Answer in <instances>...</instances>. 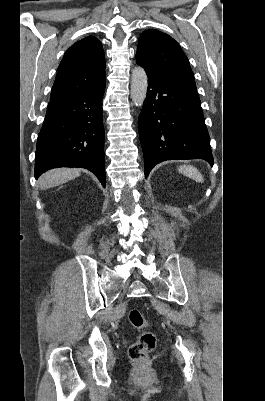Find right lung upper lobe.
I'll return each mask as SVG.
<instances>
[{"mask_svg":"<svg viewBox=\"0 0 265 401\" xmlns=\"http://www.w3.org/2000/svg\"><path fill=\"white\" fill-rule=\"evenodd\" d=\"M105 55L101 42L86 37L65 53L50 94V101L94 91L105 86Z\"/></svg>","mask_w":265,"mask_h":401,"instance_id":"cb5924a9","label":"right lung upper lobe"}]
</instances>
